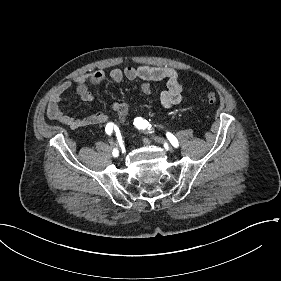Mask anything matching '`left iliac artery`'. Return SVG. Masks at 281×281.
Returning a JSON list of instances; mask_svg holds the SVG:
<instances>
[{
	"label": "left iliac artery",
	"instance_id": "1",
	"mask_svg": "<svg viewBox=\"0 0 281 281\" xmlns=\"http://www.w3.org/2000/svg\"><path fill=\"white\" fill-rule=\"evenodd\" d=\"M134 125L138 128V129H141V130H145V129H148V130H151V125L149 124V122H147L146 120H144L143 118L141 117H137L134 119ZM167 138L168 140L171 142V144L174 146V147H178V141L177 139L174 137V135H172L171 133H167Z\"/></svg>",
	"mask_w": 281,
	"mask_h": 281
}]
</instances>
